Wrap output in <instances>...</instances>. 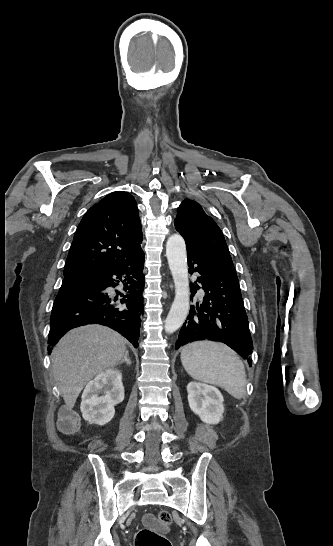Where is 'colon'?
Listing matches in <instances>:
<instances>
[{"label":"colon","instance_id":"colon-1","mask_svg":"<svg viewBox=\"0 0 333 546\" xmlns=\"http://www.w3.org/2000/svg\"><path fill=\"white\" fill-rule=\"evenodd\" d=\"M157 518L163 525H168L172 522V515L166 510L160 511ZM136 546H171V544L169 540L159 532L150 528H143L137 533Z\"/></svg>","mask_w":333,"mask_h":546}]
</instances>
